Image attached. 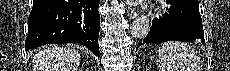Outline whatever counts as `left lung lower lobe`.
<instances>
[{
  "mask_svg": "<svg viewBox=\"0 0 230 71\" xmlns=\"http://www.w3.org/2000/svg\"><path fill=\"white\" fill-rule=\"evenodd\" d=\"M169 13L153 20L148 35L140 40L137 48L145 43L165 41H194L204 44V31L197 0H166Z\"/></svg>",
  "mask_w": 230,
  "mask_h": 71,
  "instance_id": "obj_1",
  "label": "left lung lower lobe"
}]
</instances>
